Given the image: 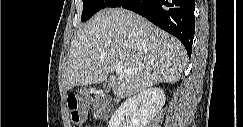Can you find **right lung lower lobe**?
<instances>
[{"instance_id": "98d812e1", "label": "right lung lower lobe", "mask_w": 243, "mask_h": 127, "mask_svg": "<svg viewBox=\"0 0 243 127\" xmlns=\"http://www.w3.org/2000/svg\"><path fill=\"white\" fill-rule=\"evenodd\" d=\"M109 7L132 10L177 37L192 53L195 0H115Z\"/></svg>"}]
</instances>
